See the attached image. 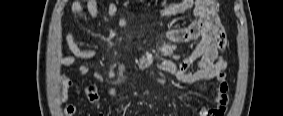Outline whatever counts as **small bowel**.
<instances>
[{
  "label": "small bowel",
  "instance_id": "obj_1",
  "mask_svg": "<svg viewBox=\"0 0 283 116\" xmlns=\"http://www.w3.org/2000/svg\"><path fill=\"white\" fill-rule=\"evenodd\" d=\"M187 5L192 7L194 21L182 29H172L167 31V38L173 42L197 41L192 53L180 63H175L167 58H159L156 62L157 67L164 73L173 76L182 83L193 84L201 81L215 79L218 82L217 95L215 97V108L202 106L198 116H220L216 114L217 109L228 103L229 83L225 75L227 62L223 57L226 48L225 30L217 15V3L213 0L178 1L177 3L165 8L162 11L164 17H170L183 12ZM73 13L79 19H96L98 16V2L89 0L86 6L74 1L71 4ZM118 8L114 3L108 5L106 14L113 17L117 14ZM66 44L68 52L61 57L60 63L64 67H71L80 60H88L95 56L96 50L81 49L76 43L71 32L67 33ZM166 48L165 51H168ZM151 62V57L146 56L144 64ZM194 67L193 70H190ZM88 66L83 64L79 68V74H84ZM67 87L73 86V81H65ZM87 99L95 106L101 105V99L96 86L88 85L85 87ZM132 98L131 94L123 95L118 99L119 103H124ZM77 111L75 105L66 107L65 115L72 116Z\"/></svg>",
  "mask_w": 283,
  "mask_h": 116
}]
</instances>
